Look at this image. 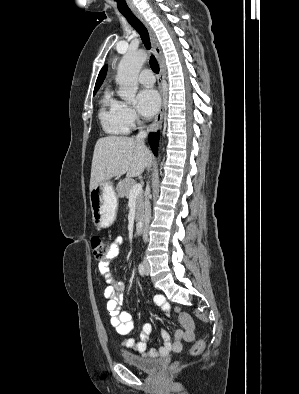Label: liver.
Returning a JSON list of instances; mask_svg holds the SVG:
<instances>
[{
  "label": "liver",
  "mask_w": 299,
  "mask_h": 394,
  "mask_svg": "<svg viewBox=\"0 0 299 394\" xmlns=\"http://www.w3.org/2000/svg\"><path fill=\"white\" fill-rule=\"evenodd\" d=\"M152 162V154L134 137L106 136L96 142L90 178V190L107 180L126 174L140 176Z\"/></svg>",
  "instance_id": "obj_1"
}]
</instances>
